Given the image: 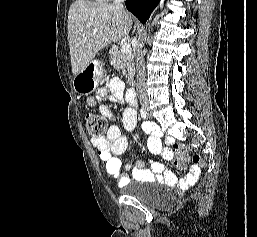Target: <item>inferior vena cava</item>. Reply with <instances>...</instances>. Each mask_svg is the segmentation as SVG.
Wrapping results in <instances>:
<instances>
[{"label":"inferior vena cava","mask_w":257,"mask_h":237,"mask_svg":"<svg viewBox=\"0 0 257 237\" xmlns=\"http://www.w3.org/2000/svg\"><path fill=\"white\" fill-rule=\"evenodd\" d=\"M124 0H114L113 4L123 9ZM134 55L136 59V68H137V82L140 93V102L142 104L148 101V95L145 91V65H144V54L141 51L139 45L134 48Z\"/></svg>","instance_id":"1"}]
</instances>
